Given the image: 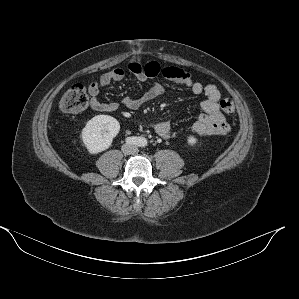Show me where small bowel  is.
<instances>
[{
  "mask_svg": "<svg viewBox=\"0 0 299 299\" xmlns=\"http://www.w3.org/2000/svg\"><path fill=\"white\" fill-rule=\"evenodd\" d=\"M129 72L137 80L144 82L152 78L163 77L172 83L185 86L195 94H204L205 100L201 103L202 113L192 125L190 132L199 136H211L226 134L230 127L220 110L221 93L213 84L203 85L193 79L187 71L174 66H161L157 62H149L145 65L132 61L127 68H115L102 74L97 81L90 84L89 106L96 111L111 113L124 106L128 109H138L164 93V86L160 82H153L149 88L139 97L126 96L120 101L102 102L98 96L101 88L112 82L120 81ZM154 131L163 139L175 136L169 121H160L153 124Z\"/></svg>",
  "mask_w": 299,
  "mask_h": 299,
  "instance_id": "small-bowel-1",
  "label": "small bowel"
}]
</instances>
